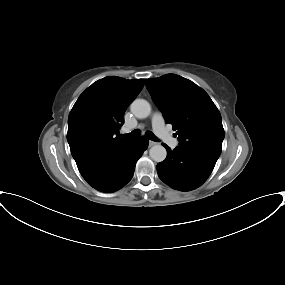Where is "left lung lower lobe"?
I'll return each mask as SVG.
<instances>
[{
    "label": "left lung lower lobe",
    "instance_id": "0a47b994",
    "mask_svg": "<svg viewBox=\"0 0 285 285\" xmlns=\"http://www.w3.org/2000/svg\"><path fill=\"white\" fill-rule=\"evenodd\" d=\"M167 149V158L157 164L160 179L180 191L201 186L211 174L218 158L177 146Z\"/></svg>",
    "mask_w": 285,
    "mask_h": 285
}]
</instances>
